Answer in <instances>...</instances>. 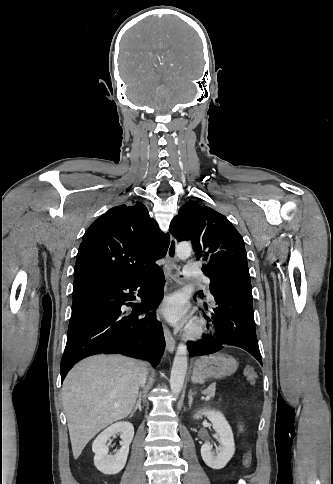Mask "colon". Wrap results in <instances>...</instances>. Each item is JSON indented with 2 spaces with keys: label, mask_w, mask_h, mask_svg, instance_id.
<instances>
[{
  "label": "colon",
  "mask_w": 333,
  "mask_h": 484,
  "mask_svg": "<svg viewBox=\"0 0 333 484\" xmlns=\"http://www.w3.org/2000/svg\"><path fill=\"white\" fill-rule=\"evenodd\" d=\"M244 375L247 379V381L250 383V384H255L256 381H257V373L256 371L251 367V366H246L244 368ZM251 460H252V455H251V452L250 451H246L245 454H244V458H243V466L244 468H249L250 465H251Z\"/></svg>",
  "instance_id": "colon-1"
}]
</instances>
